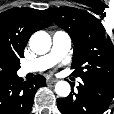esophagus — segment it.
Listing matches in <instances>:
<instances>
[{"mask_svg": "<svg viewBox=\"0 0 114 114\" xmlns=\"http://www.w3.org/2000/svg\"><path fill=\"white\" fill-rule=\"evenodd\" d=\"M46 82H47L48 84H53V83L57 82V79H55V78H48V79L46 80Z\"/></svg>", "mask_w": 114, "mask_h": 114, "instance_id": "esophagus-1", "label": "esophagus"}]
</instances>
